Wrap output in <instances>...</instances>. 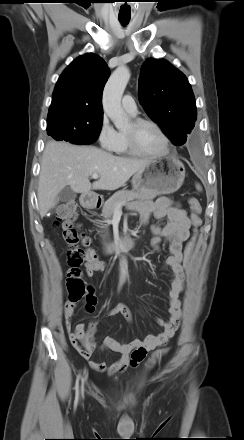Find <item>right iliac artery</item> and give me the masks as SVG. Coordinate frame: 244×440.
<instances>
[{"instance_id": "right-iliac-artery-1", "label": "right iliac artery", "mask_w": 244, "mask_h": 440, "mask_svg": "<svg viewBox=\"0 0 244 440\" xmlns=\"http://www.w3.org/2000/svg\"><path fill=\"white\" fill-rule=\"evenodd\" d=\"M120 286H121V284L119 285V288H120ZM80 378H81V375L79 374L77 376V380H76V384H75V391H76L75 401H74V406L75 407L77 406L78 400H79V380H80Z\"/></svg>"}]
</instances>
